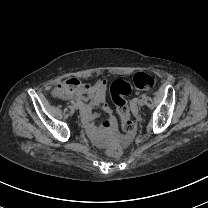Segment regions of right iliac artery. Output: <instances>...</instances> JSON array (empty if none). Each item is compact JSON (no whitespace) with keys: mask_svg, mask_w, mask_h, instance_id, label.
Segmentation results:
<instances>
[{"mask_svg":"<svg viewBox=\"0 0 208 208\" xmlns=\"http://www.w3.org/2000/svg\"><path fill=\"white\" fill-rule=\"evenodd\" d=\"M70 103L74 105L75 104V101L74 100H71Z\"/></svg>","mask_w":208,"mask_h":208,"instance_id":"1","label":"right iliac artery"}]
</instances>
